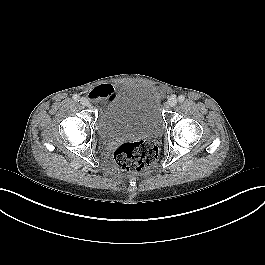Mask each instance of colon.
<instances>
[{
    "label": "colon",
    "mask_w": 265,
    "mask_h": 265,
    "mask_svg": "<svg viewBox=\"0 0 265 265\" xmlns=\"http://www.w3.org/2000/svg\"><path fill=\"white\" fill-rule=\"evenodd\" d=\"M158 158V148L149 141H128L114 150L116 166L123 171L142 173L150 170Z\"/></svg>",
    "instance_id": "5ec220e1"
}]
</instances>
